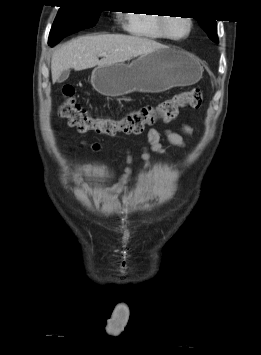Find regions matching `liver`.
Instances as JSON below:
<instances>
[{"instance_id":"liver-1","label":"liver","mask_w":261,"mask_h":355,"mask_svg":"<svg viewBox=\"0 0 261 355\" xmlns=\"http://www.w3.org/2000/svg\"><path fill=\"white\" fill-rule=\"evenodd\" d=\"M161 47L164 46L139 36L122 34L80 36L54 51L51 59L52 82L55 83L61 73L70 68L80 71L96 65L122 63ZM102 53H106V56L99 60Z\"/></svg>"}]
</instances>
